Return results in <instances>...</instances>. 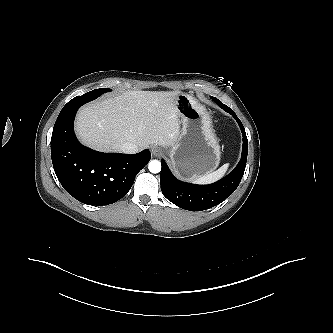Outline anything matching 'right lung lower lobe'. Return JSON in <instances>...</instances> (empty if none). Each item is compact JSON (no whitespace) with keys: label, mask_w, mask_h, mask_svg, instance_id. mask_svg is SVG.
Segmentation results:
<instances>
[{"label":"right lung lower lobe","mask_w":333,"mask_h":333,"mask_svg":"<svg viewBox=\"0 0 333 333\" xmlns=\"http://www.w3.org/2000/svg\"><path fill=\"white\" fill-rule=\"evenodd\" d=\"M79 108H63L51 137L54 171L63 188L89 205H108L124 197L135 176L151 158L148 149L137 154L102 153L79 143L73 121Z\"/></svg>","instance_id":"right-lung-lower-lobe-1"}]
</instances>
